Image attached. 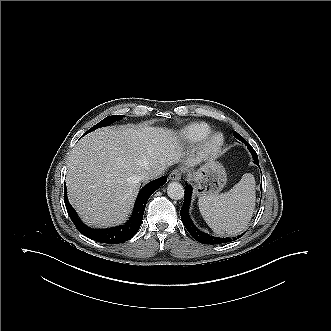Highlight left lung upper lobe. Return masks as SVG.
<instances>
[{
    "label": "left lung upper lobe",
    "mask_w": 331,
    "mask_h": 331,
    "mask_svg": "<svg viewBox=\"0 0 331 331\" xmlns=\"http://www.w3.org/2000/svg\"><path fill=\"white\" fill-rule=\"evenodd\" d=\"M233 135H238V133L235 131L234 133H233ZM254 150V149H253ZM252 154V156H253V159L255 160V163H258V157H257V155H255L254 153H251Z\"/></svg>",
    "instance_id": "1"
}]
</instances>
